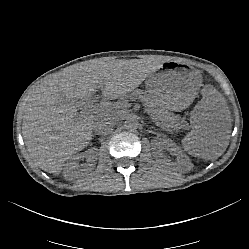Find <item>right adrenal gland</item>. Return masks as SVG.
Segmentation results:
<instances>
[{
  "mask_svg": "<svg viewBox=\"0 0 249 249\" xmlns=\"http://www.w3.org/2000/svg\"><path fill=\"white\" fill-rule=\"evenodd\" d=\"M96 135H99V133H96ZM96 135L92 136V140H94L96 138Z\"/></svg>",
  "mask_w": 249,
  "mask_h": 249,
  "instance_id": "2a0ac1e0",
  "label": "right adrenal gland"
}]
</instances>
